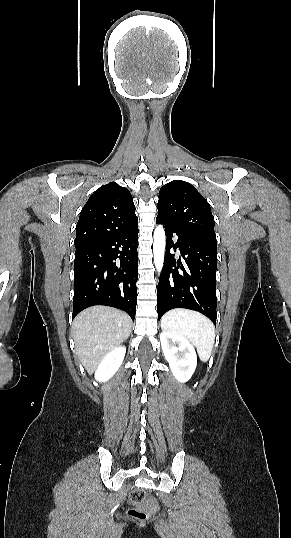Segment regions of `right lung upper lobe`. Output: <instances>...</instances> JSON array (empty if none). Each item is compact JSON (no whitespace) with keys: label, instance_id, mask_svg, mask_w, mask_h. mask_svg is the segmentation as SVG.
<instances>
[{"label":"right lung upper lobe","instance_id":"cb5924a9","mask_svg":"<svg viewBox=\"0 0 291 538\" xmlns=\"http://www.w3.org/2000/svg\"><path fill=\"white\" fill-rule=\"evenodd\" d=\"M137 222L129 190L110 182L97 189L84 205L76 226L75 247L106 240L137 226Z\"/></svg>","mask_w":291,"mask_h":538}]
</instances>
